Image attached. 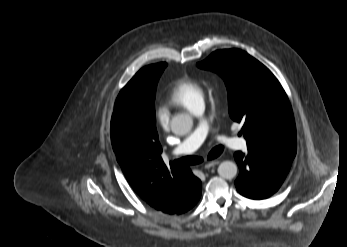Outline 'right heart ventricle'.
I'll return each instance as SVG.
<instances>
[{"mask_svg":"<svg viewBox=\"0 0 347 247\" xmlns=\"http://www.w3.org/2000/svg\"><path fill=\"white\" fill-rule=\"evenodd\" d=\"M203 99V87L198 82L184 77L172 84L166 97V103L192 111L194 106Z\"/></svg>","mask_w":347,"mask_h":247,"instance_id":"e07e8e85","label":"right heart ventricle"}]
</instances>
